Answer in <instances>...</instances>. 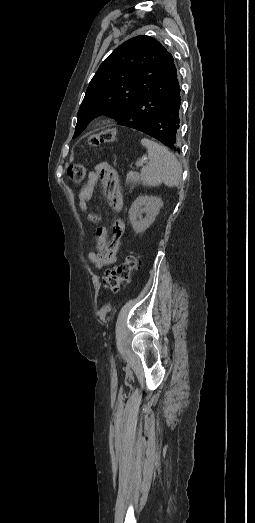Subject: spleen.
Wrapping results in <instances>:
<instances>
[{
  "instance_id": "obj_1",
  "label": "spleen",
  "mask_w": 255,
  "mask_h": 523,
  "mask_svg": "<svg viewBox=\"0 0 255 523\" xmlns=\"http://www.w3.org/2000/svg\"><path fill=\"white\" fill-rule=\"evenodd\" d=\"M142 146L147 148L149 158L148 164L143 166L140 180L143 186H179L182 174V166L174 154L168 152L165 146H160L152 140L142 138Z\"/></svg>"
}]
</instances>
